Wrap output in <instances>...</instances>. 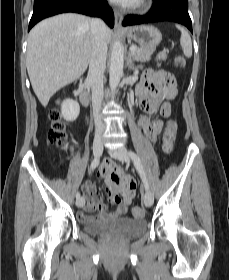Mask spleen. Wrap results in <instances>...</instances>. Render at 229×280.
<instances>
[{"label": "spleen", "mask_w": 229, "mask_h": 280, "mask_svg": "<svg viewBox=\"0 0 229 280\" xmlns=\"http://www.w3.org/2000/svg\"><path fill=\"white\" fill-rule=\"evenodd\" d=\"M177 28L181 31L180 45L186 57L192 56V42L189 33L180 25Z\"/></svg>", "instance_id": "3e777b00"}]
</instances>
